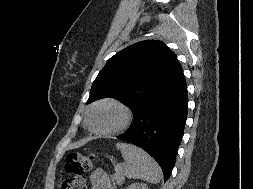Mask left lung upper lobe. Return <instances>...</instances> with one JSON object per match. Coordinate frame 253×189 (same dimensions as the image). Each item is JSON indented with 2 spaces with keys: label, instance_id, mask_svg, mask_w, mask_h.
Masks as SVG:
<instances>
[{
  "label": "left lung upper lobe",
  "instance_id": "5c2ea615",
  "mask_svg": "<svg viewBox=\"0 0 253 189\" xmlns=\"http://www.w3.org/2000/svg\"><path fill=\"white\" fill-rule=\"evenodd\" d=\"M182 72L176 55L163 42L141 41L107 61L92 84L87 103L115 98L135 115L165 91Z\"/></svg>",
  "mask_w": 253,
  "mask_h": 189
}]
</instances>
